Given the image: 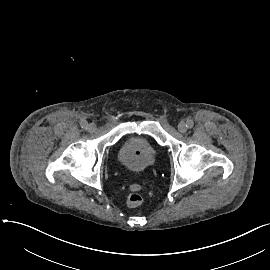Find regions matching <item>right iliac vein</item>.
I'll return each mask as SVG.
<instances>
[{
    "mask_svg": "<svg viewBox=\"0 0 270 270\" xmlns=\"http://www.w3.org/2000/svg\"><path fill=\"white\" fill-rule=\"evenodd\" d=\"M87 130L88 132L93 133L96 130V125L94 123L88 124Z\"/></svg>",
    "mask_w": 270,
    "mask_h": 270,
    "instance_id": "63e3f726",
    "label": "right iliac vein"
}]
</instances>
